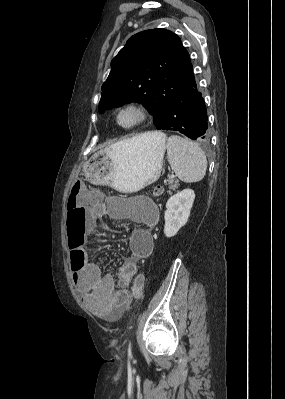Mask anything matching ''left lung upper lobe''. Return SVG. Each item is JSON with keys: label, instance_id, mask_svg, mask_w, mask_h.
Segmentation results:
<instances>
[{"label": "left lung upper lobe", "instance_id": "left-lung-upper-lobe-1", "mask_svg": "<svg viewBox=\"0 0 285 399\" xmlns=\"http://www.w3.org/2000/svg\"><path fill=\"white\" fill-rule=\"evenodd\" d=\"M102 85L99 113L126 103L140 102L161 129L180 87L193 76L190 56L181 39L165 29L133 35L111 61Z\"/></svg>", "mask_w": 285, "mask_h": 399}]
</instances>
